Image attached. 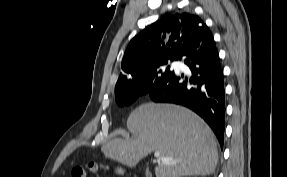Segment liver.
<instances>
[{
	"mask_svg": "<svg viewBox=\"0 0 287 177\" xmlns=\"http://www.w3.org/2000/svg\"><path fill=\"white\" fill-rule=\"evenodd\" d=\"M132 138H114L102 146L106 157L129 167L152 151L160 152L156 177L212 174L218 162L215 136L209 126L187 108L173 104L146 103L128 117Z\"/></svg>",
	"mask_w": 287,
	"mask_h": 177,
	"instance_id": "obj_1",
	"label": "liver"
}]
</instances>
